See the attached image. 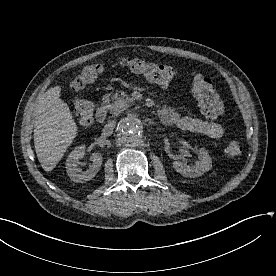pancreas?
<instances>
[{
  "instance_id": "pancreas-1",
  "label": "pancreas",
  "mask_w": 276,
  "mask_h": 276,
  "mask_svg": "<svg viewBox=\"0 0 276 276\" xmlns=\"http://www.w3.org/2000/svg\"><path fill=\"white\" fill-rule=\"evenodd\" d=\"M107 108L113 115H118L133 103V99L124 92L115 93L111 98L106 96Z\"/></svg>"
}]
</instances>
